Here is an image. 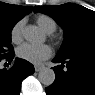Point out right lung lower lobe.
Listing matches in <instances>:
<instances>
[{
    "mask_svg": "<svg viewBox=\"0 0 95 95\" xmlns=\"http://www.w3.org/2000/svg\"><path fill=\"white\" fill-rule=\"evenodd\" d=\"M14 56L12 52L5 58L11 61ZM33 72V65L23 59H16L15 65L9 70H0V95H19L21 82Z\"/></svg>",
    "mask_w": 95,
    "mask_h": 95,
    "instance_id": "98d812e1",
    "label": "right lung lower lobe"
}]
</instances>
